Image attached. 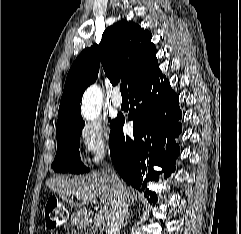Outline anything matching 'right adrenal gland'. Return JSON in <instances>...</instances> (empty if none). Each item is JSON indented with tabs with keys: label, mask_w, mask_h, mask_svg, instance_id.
Returning <instances> with one entry per match:
<instances>
[{
	"label": "right adrenal gland",
	"mask_w": 241,
	"mask_h": 234,
	"mask_svg": "<svg viewBox=\"0 0 241 234\" xmlns=\"http://www.w3.org/2000/svg\"><path fill=\"white\" fill-rule=\"evenodd\" d=\"M130 216V213H128L125 217V222L123 223L122 227H125L128 224V218Z\"/></svg>",
	"instance_id": "1"
}]
</instances>
